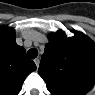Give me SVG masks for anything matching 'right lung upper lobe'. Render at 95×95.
<instances>
[{"label":"right lung upper lobe","instance_id":"obj_1","mask_svg":"<svg viewBox=\"0 0 95 95\" xmlns=\"http://www.w3.org/2000/svg\"><path fill=\"white\" fill-rule=\"evenodd\" d=\"M36 70L34 62L26 57L25 49L16 44L14 30L0 27V87L1 92L18 94L26 76Z\"/></svg>","mask_w":95,"mask_h":95}]
</instances>
